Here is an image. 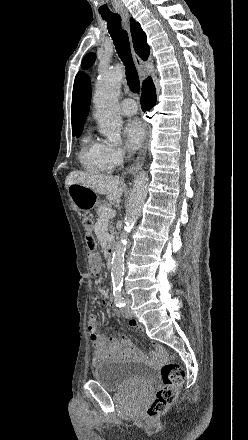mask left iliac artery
Listing matches in <instances>:
<instances>
[{
  "label": "left iliac artery",
  "mask_w": 248,
  "mask_h": 440,
  "mask_svg": "<svg viewBox=\"0 0 248 440\" xmlns=\"http://www.w3.org/2000/svg\"><path fill=\"white\" fill-rule=\"evenodd\" d=\"M113 296H114V302L117 307L121 308L125 306V301L121 293V287L113 288Z\"/></svg>",
  "instance_id": "obj_1"
}]
</instances>
